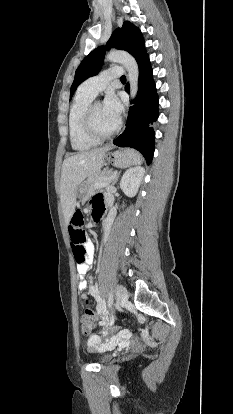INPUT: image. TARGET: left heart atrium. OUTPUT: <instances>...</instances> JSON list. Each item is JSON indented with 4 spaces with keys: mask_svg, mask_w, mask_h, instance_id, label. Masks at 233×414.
<instances>
[{
    "mask_svg": "<svg viewBox=\"0 0 233 414\" xmlns=\"http://www.w3.org/2000/svg\"><path fill=\"white\" fill-rule=\"evenodd\" d=\"M104 112L113 120L119 121L122 105L115 94H108L103 103Z\"/></svg>",
    "mask_w": 233,
    "mask_h": 414,
    "instance_id": "39dd6f15",
    "label": "left heart atrium"
}]
</instances>
